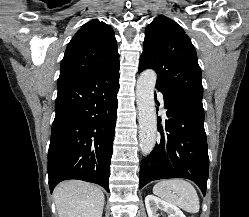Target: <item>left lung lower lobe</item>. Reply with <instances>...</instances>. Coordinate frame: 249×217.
Returning a JSON list of instances; mask_svg holds the SVG:
<instances>
[{
	"mask_svg": "<svg viewBox=\"0 0 249 217\" xmlns=\"http://www.w3.org/2000/svg\"><path fill=\"white\" fill-rule=\"evenodd\" d=\"M157 89L163 94L168 119L162 127L161 117H157L160 139L150 155L142 160L139 189L153 180L187 178L205 195L209 157L202 99ZM155 102L159 106L156 93Z\"/></svg>",
	"mask_w": 249,
	"mask_h": 217,
	"instance_id": "1",
	"label": "left lung lower lobe"
}]
</instances>
